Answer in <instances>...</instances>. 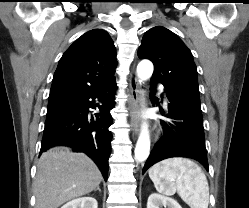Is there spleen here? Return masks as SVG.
<instances>
[{
    "label": "spleen",
    "mask_w": 249,
    "mask_h": 208,
    "mask_svg": "<svg viewBox=\"0 0 249 208\" xmlns=\"http://www.w3.org/2000/svg\"><path fill=\"white\" fill-rule=\"evenodd\" d=\"M149 177L159 193L171 196L177 192L190 208H208L207 178L190 159H165L149 169Z\"/></svg>",
    "instance_id": "obj_1"
}]
</instances>
